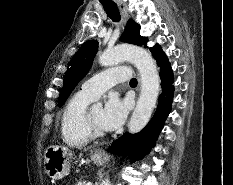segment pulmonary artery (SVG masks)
<instances>
[{
  "mask_svg": "<svg viewBox=\"0 0 233 185\" xmlns=\"http://www.w3.org/2000/svg\"><path fill=\"white\" fill-rule=\"evenodd\" d=\"M129 77L130 69L127 67L108 68L86 80L79 92L94 100L109 88L126 81Z\"/></svg>",
  "mask_w": 233,
  "mask_h": 185,
  "instance_id": "e3ab8cb5",
  "label": "pulmonary artery"
}]
</instances>
